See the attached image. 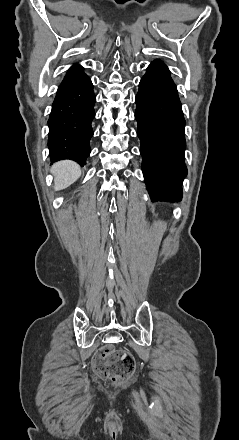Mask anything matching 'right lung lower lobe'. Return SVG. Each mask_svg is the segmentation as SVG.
<instances>
[{
    "label": "right lung lower lobe",
    "mask_w": 239,
    "mask_h": 440,
    "mask_svg": "<svg viewBox=\"0 0 239 440\" xmlns=\"http://www.w3.org/2000/svg\"><path fill=\"white\" fill-rule=\"evenodd\" d=\"M96 97L90 78L80 65L72 66L60 84L48 120L51 161L70 159L81 166L90 154L91 121Z\"/></svg>",
    "instance_id": "obj_1"
}]
</instances>
